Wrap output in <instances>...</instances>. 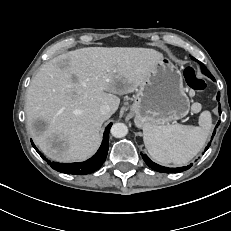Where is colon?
<instances>
[{
    "label": "colon",
    "instance_id": "1",
    "mask_svg": "<svg viewBox=\"0 0 231 231\" xmlns=\"http://www.w3.org/2000/svg\"><path fill=\"white\" fill-rule=\"evenodd\" d=\"M184 79L187 85L193 90L200 91L206 87L205 81L197 77L196 72L192 67H187L185 69Z\"/></svg>",
    "mask_w": 231,
    "mask_h": 231
}]
</instances>
